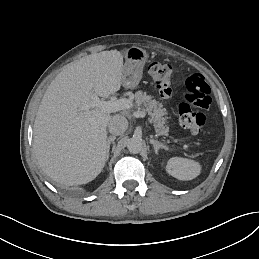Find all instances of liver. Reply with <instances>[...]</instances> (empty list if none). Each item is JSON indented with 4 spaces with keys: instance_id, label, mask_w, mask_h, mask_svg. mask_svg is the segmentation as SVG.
Listing matches in <instances>:
<instances>
[{
    "instance_id": "6515ba94",
    "label": "liver",
    "mask_w": 259,
    "mask_h": 259,
    "mask_svg": "<svg viewBox=\"0 0 259 259\" xmlns=\"http://www.w3.org/2000/svg\"><path fill=\"white\" fill-rule=\"evenodd\" d=\"M124 57L117 50L93 53L65 66L47 88L33 128V151L54 181L81 185L94 180L108 157L106 128L112 116L101 108L78 112L91 91L107 98L121 89Z\"/></svg>"
}]
</instances>
